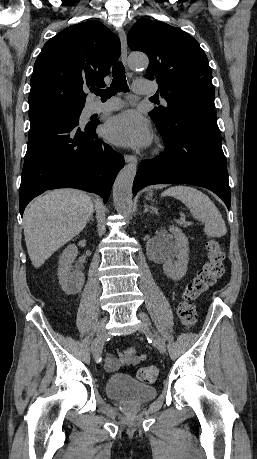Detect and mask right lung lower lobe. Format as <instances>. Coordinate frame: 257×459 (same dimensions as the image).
Wrapping results in <instances>:
<instances>
[{
	"label": "right lung lower lobe",
	"mask_w": 257,
	"mask_h": 459,
	"mask_svg": "<svg viewBox=\"0 0 257 459\" xmlns=\"http://www.w3.org/2000/svg\"><path fill=\"white\" fill-rule=\"evenodd\" d=\"M22 171L19 203L46 190L77 188L101 195L106 203L124 158L95 133L98 122L33 116Z\"/></svg>",
	"instance_id": "1"
}]
</instances>
